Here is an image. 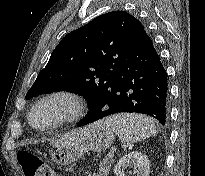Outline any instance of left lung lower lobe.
Here are the masks:
<instances>
[{"label":"left lung lower lobe","instance_id":"left-lung-lower-lobe-1","mask_svg":"<svg viewBox=\"0 0 205 176\" xmlns=\"http://www.w3.org/2000/svg\"><path fill=\"white\" fill-rule=\"evenodd\" d=\"M167 93V73L151 38L145 33L122 64L117 78L77 126L124 112L146 114L165 125Z\"/></svg>","mask_w":205,"mask_h":176}]
</instances>
